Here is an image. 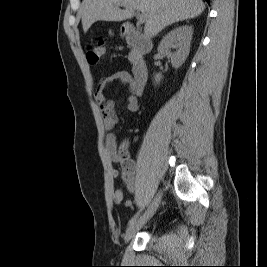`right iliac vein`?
<instances>
[{
  "label": "right iliac vein",
  "mask_w": 267,
  "mask_h": 267,
  "mask_svg": "<svg viewBox=\"0 0 267 267\" xmlns=\"http://www.w3.org/2000/svg\"><path fill=\"white\" fill-rule=\"evenodd\" d=\"M161 196L162 193L159 192L148 207L147 211L144 213V215L138 221L128 227L124 236V240L126 242H128L137 233V231L141 229L142 226L152 217V215L155 213L160 204Z\"/></svg>",
  "instance_id": "right-iliac-vein-1"
}]
</instances>
